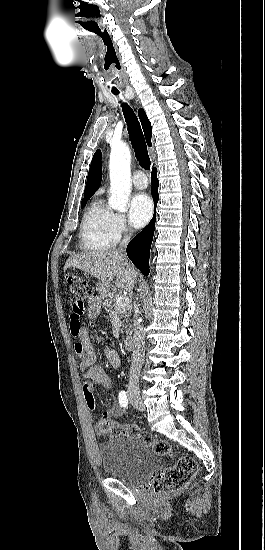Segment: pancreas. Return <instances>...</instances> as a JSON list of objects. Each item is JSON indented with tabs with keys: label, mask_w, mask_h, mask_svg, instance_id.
<instances>
[{
	"label": "pancreas",
	"mask_w": 265,
	"mask_h": 550,
	"mask_svg": "<svg viewBox=\"0 0 265 550\" xmlns=\"http://www.w3.org/2000/svg\"><path fill=\"white\" fill-rule=\"evenodd\" d=\"M118 297H119V294L117 293V291H113L109 293L103 302V306L105 307L106 311L109 313H111L112 311H117L120 318L123 319V322H126L124 325L125 332L130 333L131 325L127 324V322H128V318L131 315L132 305L128 303L125 306H117L115 302Z\"/></svg>",
	"instance_id": "obj_1"
}]
</instances>
